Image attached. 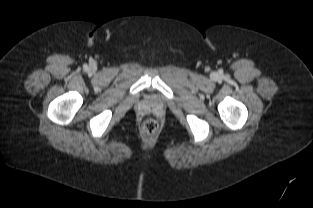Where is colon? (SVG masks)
Instances as JSON below:
<instances>
[{"label":"colon","instance_id":"colon-1","mask_svg":"<svg viewBox=\"0 0 313 208\" xmlns=\"http://www.w3.org/2000/svg\"><path fill=\"white\" fill-rule=\"evenodd\" d=\"M159 130V124L154 119H147L142 124V132L147 136L155 135Z\"/></svg>","mask_w":313,"mask_h":208}]
</instances>
